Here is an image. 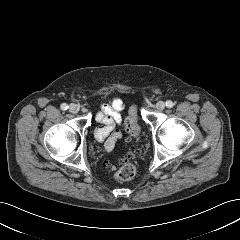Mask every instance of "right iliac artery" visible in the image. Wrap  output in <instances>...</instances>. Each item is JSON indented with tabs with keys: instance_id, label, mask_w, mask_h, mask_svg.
<instances>
[{
	"instance_id": "right-iliac-artery-1",
	"label": "right iliac artery",
	"mask_w": 240,
	"mask_h": 240,
	"mask_svg": "<svg viewBox=\"0 0 240 240\" xmlns=\"http://www.w3.org/2000/svg\"><path fill=\"white\" fill-rule=\"evenodd\" d=\"M61 109L63 110V111H65V110H67L68 108H69V106L66 104V103H63V104H61Z\"/></svg>"
}]
</instances>
